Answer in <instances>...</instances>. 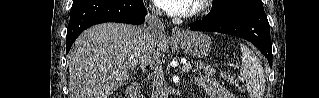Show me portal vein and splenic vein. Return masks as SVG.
<instances>
[{
	"instance_id": "obj_1",
	"label": "portal vein and splenic vein",
	"mask_w": 319,
	"mask_h": 98,
	"mask_svg": "<svg viewBox=\"0 0 319 98\" xmlns=\"http://www.w3.org/2000/svg\"><path fill=\"white\" fill-rule=\"evenodd\" d=\"M192 69V65L191 64H185L183 66V71L184 72H189Z\"/></svg>"
}]
</instances>
